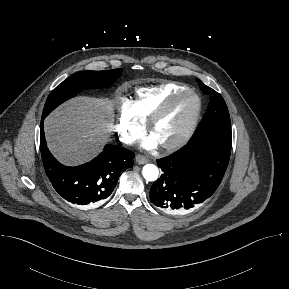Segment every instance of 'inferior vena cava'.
Here are the masks:
<instances>
[{"label":"inferior vena cava","instance_id":"inferior-vena-cava-1","mask_svg":"<svg viewBox=\"0 0 289 289\" xmlns=\"http://www.w3.org/2000/svg\"><path fill=\"white\" fill-rule=\"evenodd\" d=\"M120 141L126 144H131L133 142V140L130 137H124V136L120 137Z\"/></svg>","mask_w":289,"mask_h":289}]
</instances>
